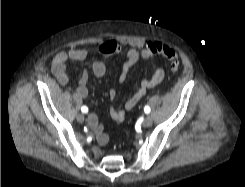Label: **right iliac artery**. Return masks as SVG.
Masks as SVG:
<instances>
[{
  "mask_svg": "<svg viewBox=\"0 0 245 187\" xmlns=\"http://www.w3.org/2000/svg\"><path fill=\"white\" fill-rule=\"evenodd\" d=\"M81 111H82V113H87L88 112V108L86 106H82L81 107Z\"/></svg>",
  "mask_w": 245,
  "mask_h": 187,
  "instance_id": "right-iliac-artery-1",
  "label": "right iliac artery"
}]
</instances>
